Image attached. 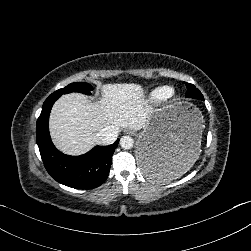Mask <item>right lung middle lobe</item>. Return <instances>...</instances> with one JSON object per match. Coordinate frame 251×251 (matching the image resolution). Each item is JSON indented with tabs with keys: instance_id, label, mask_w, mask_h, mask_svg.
Here are the masks:
<instances>
[{
	"instance_id": "right-lung-middle-lobe-1",
	"label": "right lung middle lobe",
	"mask_w": 251,
	"mask_h": 251,
	"mask_svg": "<svg viewBox=\"0 0 251 251\" xmlns=\"http://www.w3.org/2000/svg\"><path fill=\"white\" fill-rule=\"evenodd\" d=\"M93 90V87L89 85L88 83H71L65 88L59 89L55 91L52 96H58L60 97L62 94H67L71 92H79L86 95H91V91Z\"/></svg>"
}]
</instances>
